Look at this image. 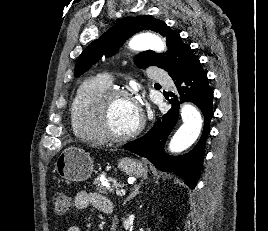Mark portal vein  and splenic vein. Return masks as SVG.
Returning <instances> with one entry per match:
<instances>
[{
    "instance_id": "portal-vein-and-splenic-vein-1",
    "label": "portal vein and splenic vein",
    "mask_w": 268,
    "mask_h": 231,
    "mask_svg": "<svg viewBox=\"0 0 268 231\" xmlns=\"http://www.w3.org/2000/svg\"><path fill=\"white\" fill-rule=\"evenodd\" d=\"M126 194V191L124 189H119L116 191L117 196H123Z\"/></svg>"
}]
</instances>
